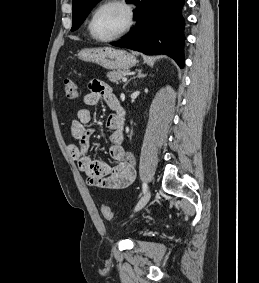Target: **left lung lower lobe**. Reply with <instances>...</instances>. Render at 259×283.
<instances>
[{"label":"left lung lower lobe","instance_id":"0a47b994","mask_svg":"<svg viewBox=\"0 0 259 283\" xmlns=\"http://www.w3.org/2000/svg\"><path fill=\"white\" fill-rule=\"evenodd\" d=\"M136 26L111 45L145 54H167L183 68L184 0H133Z\"/></svg>","mask_w":259,"mask_h":283}]
</instances>
